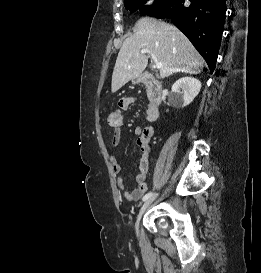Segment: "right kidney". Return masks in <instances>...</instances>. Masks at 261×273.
Listing matches in <instances>:
<instances>
[{"label":"right kidney","mask_w":261,"mask_h":273,"mask_svg":"<svg viewBox=\"0 0 261 273\" xmlns=\"http://www.w3.org/2000/svg\"><path fill=\"white\" fill-rule=\"evenodd\" d=\"M201 82L193 77H182L172 85V97L183 107L189 105L199 94Z\"/></svg>","instance_id":"obj_1"}]
</instances>
